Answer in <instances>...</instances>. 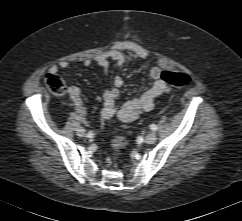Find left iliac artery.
<instances>
[{"instance_id":"obj_1","label":"left iliac artery","mask_w":242,"mask_h":221,"mask_svg":"<svg viewBox=\"0 0 242 221\" xmlns=\"http://www.w3.org/2000/svg\"><path fill=\"white\" fill-rule=\"evenodd\" d=\"M150 128L152 131H156L158 129V127L155 124H152Z\"/></svg>"}]
</instances>
